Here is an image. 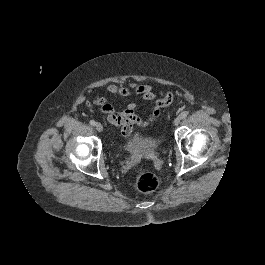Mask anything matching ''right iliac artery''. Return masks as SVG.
I'll return each mask as SVG.
<instances>
[{
    "label": "right iliac artery",
    "instance_id": "obj_1",
    "mask_svg": "<svg viewBox=\"0 0 265 265\" xmlns=\"http://www.w3.org/2000/svg\"><path fill=\"white\" fill-rule=\"evenodd\" d=\"M90 125H92V126H95L96 125V122L94 121V120H90Z\"/></svg>",
    "mask_w": 265,
    "mask_h": 265
}]
</instances>
